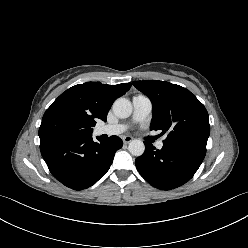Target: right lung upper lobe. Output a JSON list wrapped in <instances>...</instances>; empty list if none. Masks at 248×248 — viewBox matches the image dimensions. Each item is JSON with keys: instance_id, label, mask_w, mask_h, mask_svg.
I'll return each mask as SVG.
<instances>
[{"instance_id": "obj_1", "label": "right lung upper lobe", "mask_w": 248, "mask_h": 248, "mask_svg": "<svg viewBox=\"0 0 248 248\" xmlns=\"http://www.w3.org/2000/svg\"><path fill=\"white\" fill-rule=\"evenodd\" d=\"M131 83L118 85L87 82L75 85L62 93L46 110L43 118L53 114H69L94 127L98 119L106 121L113 102L124 95Z\"/></svg>"}]
</instances>
